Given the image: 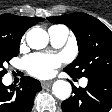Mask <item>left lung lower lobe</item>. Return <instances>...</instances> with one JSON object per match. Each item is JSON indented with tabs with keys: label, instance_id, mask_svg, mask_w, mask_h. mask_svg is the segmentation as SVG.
<instances>
[{
	"label": "left lung lower lobe",
	"instance_id": "left-lung-lower-lobe-1",
	"mask_svg": "<svg viewBox=\"0 0 112 112\" xmlns=\"http://www.w3.org/2000/svg\"><path fill=\"white\" fill-rule=\"evenodd\" d=\"M87 78L88 85L85 88L74 87V95L62 102L63 112H109L111 110L112 75H95Z\"/></svg>",
	"mask_w": 112,
	"mask_h": 112
}]
</instances>
